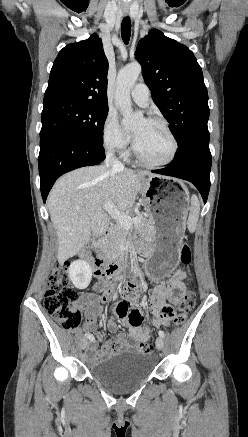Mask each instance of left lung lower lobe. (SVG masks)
<instances>
[{
	"label": "left lung lower lobe",
	"instance_id": "0a47b994",
	"mask_svg": "<svg viewBox=\"0 0 248 437\" xmlns=\"http://www.w3.org/2000/svg\"><path fill=\"white\" fill-rule=\"evenodd\" d=\"M211 162L207 131L195 135L188 145L175 155L168 167L152 172L190 181L199 190L206 203L210 189Z\"/></svg>",
	"mask_w": 248,
	"mask_h": 437
}]
</instances>
